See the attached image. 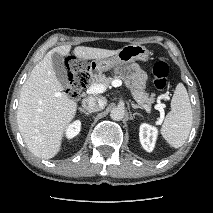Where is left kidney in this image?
Segmentation results:
<instances>
[{
	"mask_svg": "<svg viewBox=\"0 0 213 213\" xmlns=\"http://www.w3.org/2000/svg\"><path fill=\"white\" fill-rule=\"evenodd\" d=\"M158 130L156 127L149 124H142L139 130V138L142 147L147 152H152L155 147V142L157 139Z\"/></svg>",
	"mask_w": 213,
	"mask_h": 213,
	"instance_id": "obj_1",
	"label": "left kidney"
}]
</instances>
